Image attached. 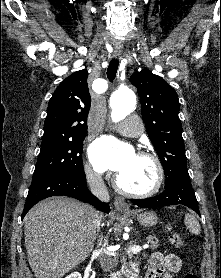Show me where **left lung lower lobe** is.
Segmentation results:
<instances>
[{"label": "left lung lower lobe", "instance_id": "0a47b994", "mask_svg": "<svg viewBox=\"0 0 221 278\" xmlns=\"http://www.w3.org/2000/svg\"><path fill=\"white\" fill-rule=\"evenodd\" d=\"M131 202L140 208L181 204L193 209L200 215L188 173L179 174L166 183L165 190L160 195L147 199H131Z\"/></svg>", "mask_w": 221, "mask_h": 278}]
</instances>
